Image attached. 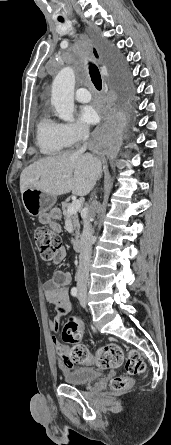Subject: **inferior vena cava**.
<instances>
[{
  "label": "inferior vena cava",
  "instance_id": "602c4592",
  "mask_svg": "<svg viewBox=\"0 0 171 445\" xmlns=\"http://www.w3.org/2000/svg\"><path fill=\"white\" fill-rule=\"evenodd\" d=\"M80 137L83 142V146L79 149V152H84L87 148V140L89 138V130L87 127H83L80 131ZM95 185V183H94ZM92 226L88 217L83 220V232L81 235V250L79 255V268L76 274L77 287L80 292H87V286L89 283V268L92 251Z\"/></svg>",
  "mask_w": 171,
  "mask_h": 445
}]
</instances>
